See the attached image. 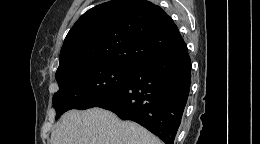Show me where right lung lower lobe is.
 Wrapping results in <instances>:
<instances>
[{"mask_svg":"<svg viewBox=\"0 0 260 144\" xmlns=\"http://www.w3.org/2000/svg\"><path fill=\"white\" fill-rule=\"evenodd\" d=\"M190 83L191 60L183 43L133 66L124 85L94 107L135 121L165 144H174Z\"/></svg>","mask_w":260,"mask_h":144,"instance_id":"right-lung-lower-lobe-1","label":"right lung lower lobe"}]
</instances>
